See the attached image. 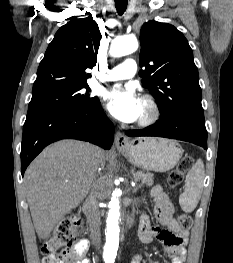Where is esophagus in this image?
Instances as JSON below:
<instances>
[{
	"mask_svg": "<svg viewBox=\"0 0 233 263\" xmlns=\"http://www.w3.org/2000/svg\"><path fill=\"white\" fill-rule=\"evenodd\" d=\"M114 144L117 148H126L129 144V139L121 131H117L115 134Z\"/></svg>",
	"mask_w": 233,
	"mask_h": 263,
	"instance_id": "esophagus-1",
	"label": "esophagus"
}]
</instances>
